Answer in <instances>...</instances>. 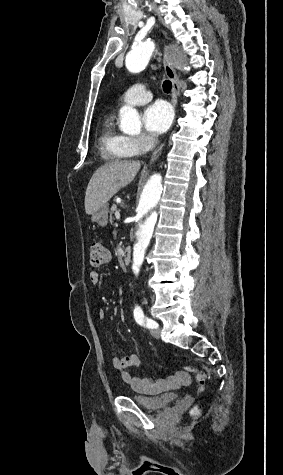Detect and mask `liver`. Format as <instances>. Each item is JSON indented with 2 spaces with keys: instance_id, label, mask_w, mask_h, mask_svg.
I'll use <instances>...</instances> for the list:
<instances>
[{
  "instance_id": "liver-1",
  "label": "liver",
  "mask_w": 283,
  "mask_h": 475,
  "mask_svg": "<svg viewBox=\"0 0 283 475\" xmlns=\"http://www.w3.org/2000/svg\"><path fill=\"white\" fill-rule=\"evenodd\" d=\"M141 168L140 162H108L93 174L85 194V212L94 214L121 188L128 186Z\"/></svg>"
}]
</instances>
